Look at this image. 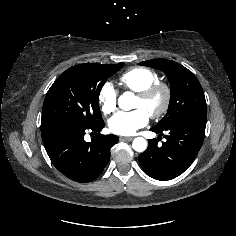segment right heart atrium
Instances as JSON below:
<instances>
[{
    "instance_id": "1",
    "label": "right heart atrium",
    "mask_w": 236,
    "mask_h": 236,
    "mask_svg": "<svg viewBox=\"0 0 236 236\" xmlns=\"http://www.w3.org/2000/svg\"><path fill=\"white\" fill-rule=\"evenodd\" d=\"M98 103L103 114H112L117 107L118 93L110 82L104 83L98 93Z\"/></svg>"
}]
</instances>
